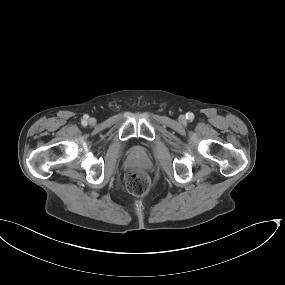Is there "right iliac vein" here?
Masks as SVG:
<instances>
[{
    "label": "right iliac vein",
    "instance_id": "obj_1",
    "mask_svg": "<svg viewBox=\"0 0 285 285\" xmlns=\"http://www.w3.org/2000/svg\"><path fill=\"white\" fill-rule=\"evenodd\" d=\"M88 123H89L90 125H93V124L95 123V120H94L93 118H91V119H89Z\"/></svg>",
    "mask_w": 285,
    "mask_h": 285
}]
</instances>
